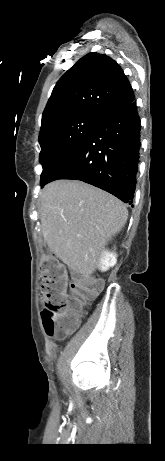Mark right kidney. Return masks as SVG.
<instances>
[{
	"label": "right kidney",
	"instance_id": "1",
	"mask_svg": "<svg viewBox=\"0 0 165 461\" xmlns=\"http://www.w3.org/2000/svg\"><path fill=\"white\" fill-rule=\"evenodd\" d=\"M116 254L114 252H109V251H104L102 253V257L100 259V270L102 272H105L107 271L110 267H113L116 262H117V258H116Z\"/></svg>",
	"mask_w": 165,
	"mask_h": 461
}]
</instances>
